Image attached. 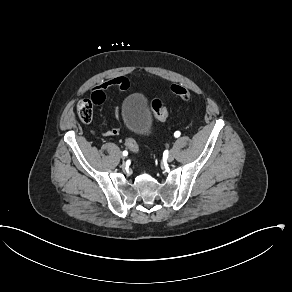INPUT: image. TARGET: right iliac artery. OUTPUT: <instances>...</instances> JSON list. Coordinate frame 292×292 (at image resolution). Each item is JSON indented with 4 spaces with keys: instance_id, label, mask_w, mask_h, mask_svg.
<instances>
[{
    "instance_id": "right-iliac-artery-1",
    "label": "right iliac artery",
    "mask_w": 292,
    "mask_h": 292,
    "mask_svg": "<svg viewBox=\"0 0 292 292\" xmlns=\"http://www.w3.org/2000/svg\"><path fill=\"white\" fill-rule=\"evenodd\" d=\"M128 155V152L125 150L123 151V156H127Z\"/></svg>"
}]
</instances>
